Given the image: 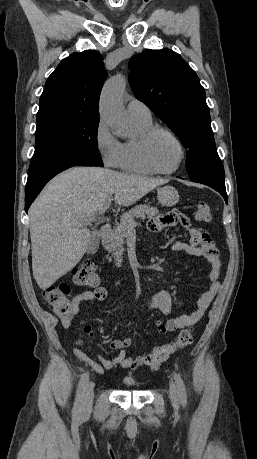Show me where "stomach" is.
<instances>
[{"mask_svg":"<svg viewBox=\"0 0 257 459\" xmlns=\"http://www.w3.org/2000/svg\"><path fill=\"white\" fill-rule=\"evenodd\" d=\"M157 199L162 206L171 207L179 201V193L173 186H164L158 189Z\"/></svg>","mask_w":257,"mask_h":459,"instance_id":"obj_1","label":"stomach"}]
</instances>
